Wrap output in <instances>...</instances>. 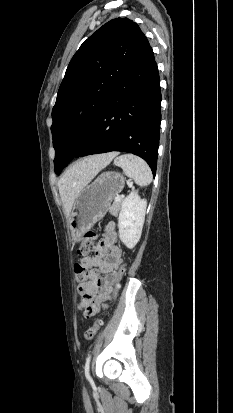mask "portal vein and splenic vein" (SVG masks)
<instances>
[{
    "instance_id": "18ae733b",
    "label": "portal vein and splenic vein",
    "mask_w": 233,
    "mask_h": 413,
    "mask_svg": "<svg viewBox=\"0 0 233 413\" xmlns=\"http://www.w3.org/2000/svg\"><path fill=\"white\" fill-rule=\"evenodd\" d=\"M121 198H122V196L117 195V196L115 197V201H116V202H118V201H120V200H121Z\"/></svg>"
}]
</instances>
